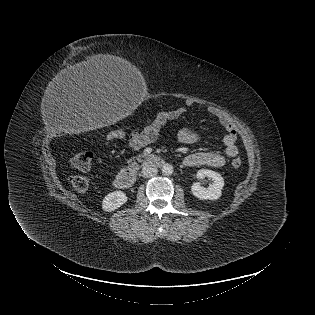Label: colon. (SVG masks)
Returning <instances> with one entry per match:
<instances>
[{"instance_id":"obj_1","label":"colon","mask_w":315,"mask_h":315,"mask_svg":"<svg viewBox=\"0 0 315 315\" xmlns=\"http://www.w3.org/2000/svg\"><path fill=\"white\" fill-rule=\"evenodd\" d=\"M125 136L126 133L124 131L115 130L110 133L109 138L115 140L122 139ZM93 157V152L84 150L76 153L70 160V165L76 172L70 175L69 182L78 192H86L89 188V179L83 173L90 168ZM231 165L233 168H239L242 165V160L235 158L231 162Z\"/></svg>"}]
</instances>
